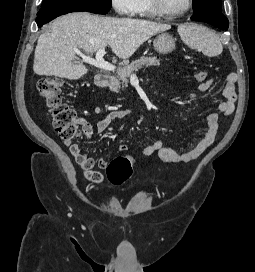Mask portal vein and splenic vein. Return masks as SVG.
Segmentation results:
<instances>
[{
	"label": "portal vein and splenic vein",
	"mask_w": 255,
	"mask_h": 272,
	"mask_svg": "<svg viewBox=\"0 0 255 272\" xmlns=\"http://www.w3.org/2000/svg\"><path fill=\"white\" fill-rule=\"evenodd\" d=\"M75 52L78 55H80L82 57V60L86 63H89L91 65H94V66L101 68L103 70H106V71H114L115 70V66H113L112 64L108 63L107 61H105L103 59V56L105 55V48H100L96 52L95 59L88 56V55H84L79 49H75Z\"/></svg>",
	"instance_id": "portal-vein-and-splenic-vein-1"
}]
</instances>
